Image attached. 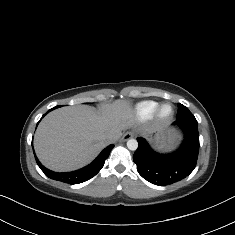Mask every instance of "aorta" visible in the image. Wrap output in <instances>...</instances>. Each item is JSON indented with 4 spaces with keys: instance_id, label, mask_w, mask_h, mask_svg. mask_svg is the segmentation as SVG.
I'll list each match as a JSON object with an SVG mask.
<instances>
[{
    "instance_id": "aorta-1",
    "label": "aorta",
    "mask_w": 235,
    "mask_h": 235,
    "mask_svg": "<svg viewBox=\"0 0 235 235\" xmlns=\"http://www.w3.org/2000/svg\"><path fill=\"white\" fill-rule=\"evenodd\" d=\"M127 148L131 151H135L138 148V142L135 139H130L127 141Z\"/></svg>"
}]
</instances>
